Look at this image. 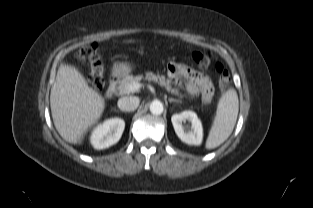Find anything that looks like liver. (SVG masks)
Segmentation results:
<instances>
[{"label": "liver", "mask_w": 313, "mask_h": 208, "mask_svg": "<svg viewBox=\"0 0 313 208\" xmlns=\"http://www.w3.org/2000/svg\"><path fill=\"white\" fill-rule=\"evenodd\" d=\"M50 107L60 136L69 143L80 144L101 117L105 103L75 68L61 65L51 88Z\"/></svg>", "instance_id": "1"}]
</instances>
